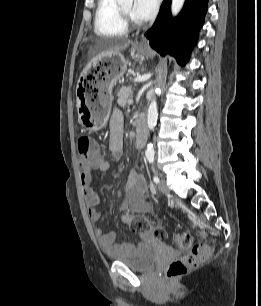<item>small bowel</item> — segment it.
Listing matches in <instances>:
<instances>
[{"label": "small bowel", "instance_id": "small-bowel-1", "mask_svg": "<svg viewBox=\"0 0 261 306\" xmlns=\"http://www.w3.org/2000/svg\"><path fill=\"white\" fill-rule=\"evenodd\" d=\"M123 113L116 109L113 111L110 122L109 159H102L82 169L80 173V183L87 206L88 215L93 223L100 221L102 212L97 208L99 198L92 188L93 171L105 172L123 157ZM147 183L144 176L136 169H133L124 184L125 198L122 203L123 208H128L135 213H149L150 204L145 198ZM95 236L101 248L108 253H126L132 246L127 243H118L117 232L105 233L101 227L94 228Z\"/></svg>", "mask_w": 261, "mask_h": 306}]
</instances>
